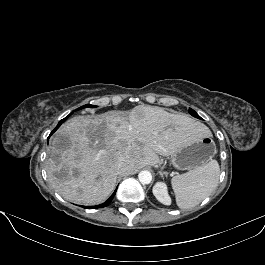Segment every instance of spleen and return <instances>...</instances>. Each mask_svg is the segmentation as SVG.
Segmentation results:
<instances>
[{"mask_svg":"<svg viewBox=\"0 0 265 265\" xmlns=\"http://www.w3.org/2000/svg\"><path fill=\"white\" fill-rule=\"evenodd\" d=\"M220 175V167L216 160L200 166L171 180L176 203L181 209L198 205L216 188Z\"/></svg>","mask_w":265,"mask_h":265,"instance_id":"1","label":"spleen"}]
</instances>
